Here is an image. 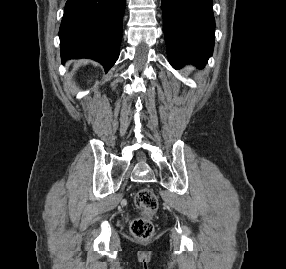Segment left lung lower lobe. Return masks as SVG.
<instances>
[{
  "instance_id": "1",
  "label": "left lung lower lobe",
  "mask_w": 286,
  "mask_h": 269,
  "mask_svg": "<svg viewBox=\"0 0 286 269\" xmlns=\"http://www.w3.org/2000/svg\"><path fill=\"white\" fill-rule=\"evenodd\" d=\"M162 11L171 65L190 62L203 67L214 47L212 0H162Z\"/></svg>"
}]
</instances>
